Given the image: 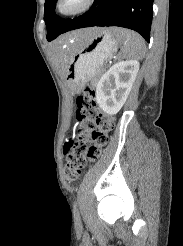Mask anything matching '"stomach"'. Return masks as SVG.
Listing matches in <instances>:
<instances>
[{"label":"stomach","mask_w":183,"mask_h":246,"mask_svg":"<svg viewBox=\"0 0 183 246\" xmlns=\"http://www.w3.org/2000/svg\"><path fill=\"white\" fill-rule=\"evenodd\" d=\"M115 30L99 29L89 41L64 44V51L69 57L66 81L73 93H79L82 86L114 55L118 45Z\"/></svg>","instance_id":"stomach-1"}]
</instances>
